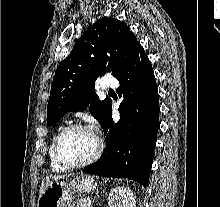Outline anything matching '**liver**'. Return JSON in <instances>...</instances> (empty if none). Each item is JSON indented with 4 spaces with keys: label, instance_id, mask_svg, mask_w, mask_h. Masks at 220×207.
<instances>
[{
    "label": "liver",
    "instance_id": "1",
    "mask_svg": "<svg viewBox=\"0 0 220 207\" xmlns=\"http://www.w3.org/2000/svg\"><path fill=\"white\" fill-rule=\"evenodd\" d=\"M65 175H54V176H47L46 177V181L43 182L40 186V191H39V195L43 194V192L45 191V189L48 187V185L50 184L51 181L53 180H58L61 178H64Z\"/></svg>",
    "mask_w": 220,
    "mask_h": 207
}]
</instances>
